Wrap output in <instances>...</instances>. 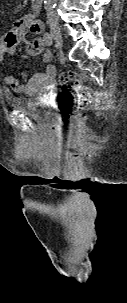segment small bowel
Returning a JSON list of instances; mask_svg holds the SVG:
<instances>
[{
	"label": "small bowel",
	"instance_id": "obj_1",
	"mask_svg": "<svg viewBox=\"0 0 127 303\" xmlns=\"http://www.w3.org/2000/svg\"><path fill=\"white\" fill-rule=\"evenodd\" d=\"M41 0H31V11L24 17L13 22L12 28L5 35H0V64L5 55L14 54L16 46L24 40L25 34L30 31L35 38L25 41L24 45L29 55H41L47 67L44 72L36 73L32 78H28L25 72L22 73L23 83L12 75H4L3 80L6 86L16 93L34 94L39 87L50 88L53 86L55 68L50 63L52 52L46 47L43 37V23L37 19L40 11Z\"/></svg>",
	"mask_w": 127,
	"mask_h": 303
}]
</instances>
